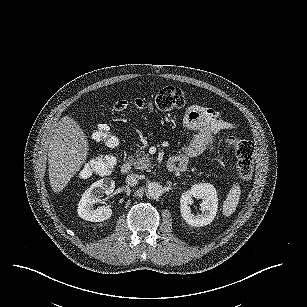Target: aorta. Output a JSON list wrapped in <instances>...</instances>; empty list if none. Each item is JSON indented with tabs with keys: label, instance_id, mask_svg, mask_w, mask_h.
I'll use <instances>...</instances> for the list:
<instances>
[{
	"label": "aorta",
	"instance_id": "aorta-1",
	"mask_svg": "<svg viewBox=\"0 0 307 307\" xmlns=\"http://www.w3.org/2000/svg\"><path fill=\"white\" fill-rule=\"evenodd\" d=\"M163 192V186L159 182H150L146 186V195L149 198H160Z\"/></svg>",
	"mask_w": 307,
	"mask_h": 307
}]
</instances>
